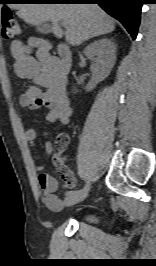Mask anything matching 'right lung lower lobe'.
<instances>
[{
  "instance_id": "1",
  "label": "right lung lower lobe",
  "mask_w": 156,
  "mask_h": 266,
  "mask_svg": "<svg viewBox=\"0 0 156 266\" xmlns=\"http://www.w3.org/2000/svg\"><path fill=\"white\" fill-rule=\"evenodd\" d=\"M145 0H46L59 4H98L108 14L119 20L133 39L137 36L141 7Z\"/></svg>"
}]
</instances>
